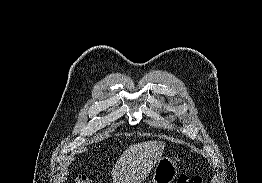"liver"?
<instances>
[{"mask_svg": "<svg viewBox=\"0 0 262 183\" xmlns=\"http://www.w3.org/2000/svg\"><path fill=\"white\" fill-rule=\"evenodd\" d=\"M164 147L162 141L130 145L112 170L114 183H142L162 157Z\"/></svg>", "mask_w": 262, "mask_h": 183, "instance_id": "liver-1", "label": "liver"}]
</instances>
